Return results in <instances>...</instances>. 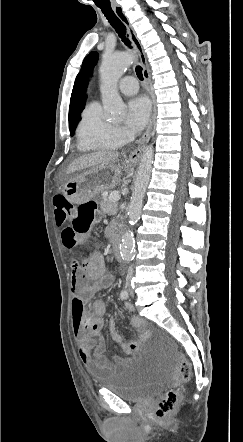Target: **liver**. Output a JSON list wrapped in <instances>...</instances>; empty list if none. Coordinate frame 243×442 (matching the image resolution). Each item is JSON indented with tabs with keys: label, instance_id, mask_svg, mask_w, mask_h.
Masks as SVG:
<instances>
[{
	"label": "liver",
	"instance_id": "1",
	"mask_svg": "<svg viewBox=\"0 0 243 442\" xmlns=\"http://www.w3.org/2000/svg\"><path fill=\"white\" fill-rule=\"evenodd\" d=\"M119 153L115 151L102 150L85 154L75 159L68 167L66 173L71 174L75 171L95 167L100 164L115 162L118 160Z\"/></svg>",
	"mask_w": 243,
	"mask_h": 442
}]
</instances>
